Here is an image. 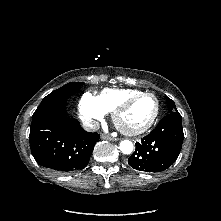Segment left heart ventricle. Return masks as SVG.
<instances>
[{
    "label": "left heart ventricle",
    "instance_id": "1",
    "mask_svg": "<svg viewBox=\"0 0 221 221\" xmlns=\"http://www.w3.org/2000/svg\"><path fill=\"white\" fill-rule=\"evenodd\" d=\"M155 108L156 102L152 96L139 98L120 115L119 123L128 130L139 129L150 121Z\"/></svg>",
    "mask_w": 221,
    "mask_h": 221
}]
</instances>
